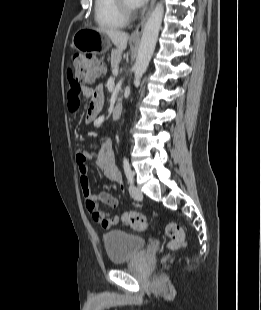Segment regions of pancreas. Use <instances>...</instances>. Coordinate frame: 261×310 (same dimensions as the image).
<instances>
[{
	"mask_svg": "<svg viewBox=\"0 0 261 310\" xmlns=\"http://www.w3.org/2000/svg\"><path fill=\"white\" fill-rule=\"evenodd\" d=\"M121 61V52L118 50H112L111 52V66L117 68Z\"/></svg>",
	"mask_w": 261,
	"mask_h": 310,
	"instance_id": "cf45deb5",
	"label": "pancreas"
}]
</instances>
